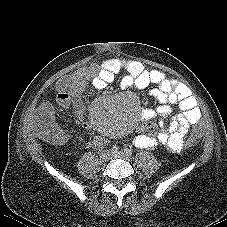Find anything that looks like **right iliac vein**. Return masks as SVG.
Wrapping results in <instances>:
<instances>
[{
  "instance_id": "obj_1",
  "label": "right iliac vein",
  "mask_w": 227,
  "mask_h": 227,
  "mask_svg": "<svg viewBox=\"0 0 227 227\" xmlns=\"http://www.w3.org/2000/svg\"><path fill=\"white\" fill-rule=\"evenodd\" d=\"M100 160L102 162H106L110 159V151L109 150H103L101 153H100V156H99Z\"/></svg>"
}]
</instances>
